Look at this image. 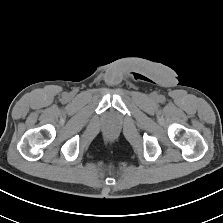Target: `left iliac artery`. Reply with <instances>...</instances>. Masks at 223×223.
<instances>
[{
	"instance_id": "1",
	"label": "left iliac artery",
	"mask_w": 223,
	"mask_h": 223,
	"mask_svg": "<svg viewBox=\"0 0 223 223\" xmlns=\"http://www.w3.org/2000/svg\"><path fill=\"white\" fill-rule=\"evenodd\" d=\"M159 100H160V102H163L165 99H164L163 96H160V97H159Z\"/></svg>"
}]
</instances>
